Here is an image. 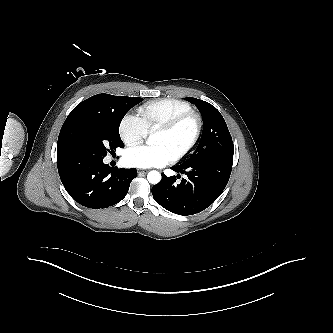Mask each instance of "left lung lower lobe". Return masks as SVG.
<instances>
[{"label": "left lung lower lobe", "mask_w": 333, "mask_h": 333, "mask_svg": "<svg viewBox=\"0 0 333 333\" xmlns=\"http://www.w3.org/2000/svg\"><path fill=\"white\" fill-rule=\"evenodd\" d=\"M233 160L226 158L204 159L174 166L172 170L188 178L176 181L180 175L167 177L152 187L154 200L166 210L187 216L209 207L226 187Z\"/></svg>", "instance_id": "0a47b994"}]
</instances>
